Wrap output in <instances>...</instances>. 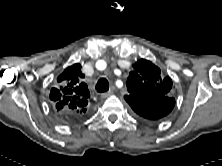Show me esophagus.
Instances as JSON below:
<instances>
[{"label":"esophagus","instance_id":"34e87169","mask_svg":"<svg viewBox=\"0 0 222 166\" xmlns=\"http://www.w3.org/2000/svg\"><path fill=\"white\" fill-rule=\"evenodd\" d=\"M113 92H114V87H112L109 91L102 93L101 98L105 99V98L111 96L113 94Z\"/></svg>","mask_w":222,"mask_h":166}]
</instances>
